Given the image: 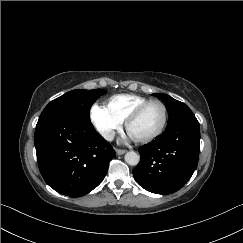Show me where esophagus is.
<instances>
[{
  "label": "esophagus",
  "mask_w": 243,
  "mask_h": 243,
  "mask_svg": "<svg viewBox=\"0 0 243 243\" xmlns=\"http://www.w3.org/2000/svg\"><path fill=\"white\" fill-rule=\"evenodd\" d=\"M115 151L117 155H123L124 153H126V150L123 149H116Z\"/></svg>",
  "instance_id": "obj_1"
}]
</instances>
